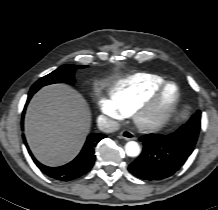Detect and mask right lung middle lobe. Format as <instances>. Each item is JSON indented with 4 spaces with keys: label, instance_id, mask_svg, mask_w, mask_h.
Segmentation results:
<instances>
[{
    "label": "right lung middle lobe",
    "instance_id": "obj_1",
    "mask_svg": "<svg viewBox=\"0 0 218 210\" xmlns=\"http://www.w3.org/2000/svg\"><path fill=\"white\" fill-rule=\"evenodd\" d=\"M87 66L85 65H63L53 71L52 73L40 78L32 87L31 92L35 93L41 87L53 83H68L73 84L75 82L74 79V71L76 69H82Z\"/></svg>",
    "mask_w": 218,
    "mask_h": 210
}]
</instances>
